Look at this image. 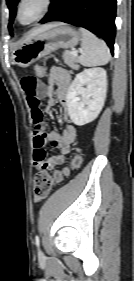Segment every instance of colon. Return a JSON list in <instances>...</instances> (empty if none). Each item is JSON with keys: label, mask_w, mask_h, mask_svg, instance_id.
I'll list each match as a JSON object with an SVG mask.
<instances>
[{"label": "colon", "mask_w": 134, "mask_h": 281, "mask_svg": "<svg viewBox=\"0 0 134 281\" xmlns=\"http://www.w3.org/2000/svg\"><path fill=\"white\" fill-rule=\"evenodd\" d=\"M47 75V69L45 66L38 65L35 68V76L38 79H42ZM81 164V155L79 150L75 151V154L72 158V161L68 167L63 168L62 170H56L52 173H49L45 170L39 171L33 179V195L34 200L39 202L45 199L53 189V187L60 183L65 176H67L70 171L77 169Z\"/></svg>", "instance_id": "colon-1"}]
</instances>
